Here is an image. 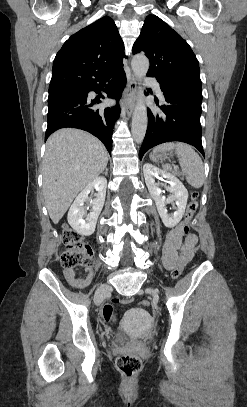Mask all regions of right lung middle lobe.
Instances as JSON below:
<instances>
[{"instance_id": "1", "label": "right lung middle lobe", "mask_w": 247, "mask_h": 407, "mask_svg": "<svg viewBox=\"0 0 247 407\" xmlns=\"http://www.w3.org/2000/svg\"><path fill=\"white\" fill-rule=\"evenodd\" d=\"M85 93H86L85 87H67V88L52 89V90H49L48 103H51L53 101H56V100H59V99L65 98V97L83 95Z\"/></svg>"}]
</instances>
